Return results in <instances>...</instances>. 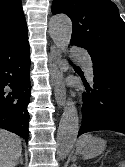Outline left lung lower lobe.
<instances>
[{
  "label": "left lung lower lobe",
  "instance_id": "0a47b994",
  "mask_svg": "<svg viewBox=\"0 0 125 167\" xmlns=\"http://www.w3.org/2000/svg\"><path fill=\"white\" fill-rule=\"evenodd\" d=\"M93 89L85 84L82 124L78 136L97 130L125 134V70L113 64L93 63Z\"/></svg>",
  "mask_w": 125,
  "mask_h": 167
}]
</instances>
